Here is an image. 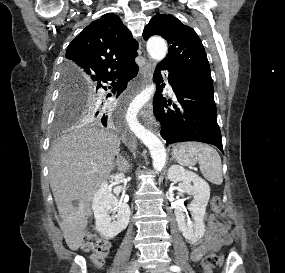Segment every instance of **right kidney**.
<instances>
[{
  "mask_svg": "<svg viewBox=\"0 0 285 273\" xmlns=\"http://www.w3.org/2000/svg\"><path fill=\"white\" fill-rule=\"evenodd\" d=\"M123 174L112 175L119 182ZM92 209L97 231L106 238H114L123 231L130 220V207L118 201L107 182H103L92 200ZM116 213V214H115ZM110 214H112L110 216Z\"/></svg>",
  "mask_w": 285,
  "mask_h": 273,
  "instance_id": "obj_1",
  "label": "right kidney"
}]
</instances>
